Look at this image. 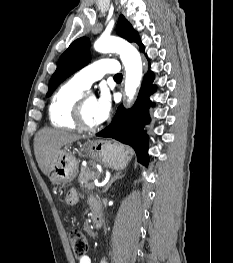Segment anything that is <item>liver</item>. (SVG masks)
<instances>
[{"mask_svg": "<svg viewBox=\"0 0 233 263\" xmlns=\"http://www.w3.org/2000/svg\"><path fill=\"white\" fill-rule=\"evenodd\" d=\"M84 138L65 130L43 128L34 138V152L39 168L47 175L61 148L69 143Z\"/></svg>", "mask_w": 233, "mask_h": 263, "instance_id": "obj_1", "label": "liver"}]
</instances>
